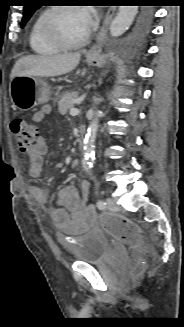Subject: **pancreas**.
<instances>
[{
  "label": "pancreas",
  "instance_id": "pancreas-1",
  "mask_svg": "<svg viewBox=\"0 0 184 327\" xmlns=\"http://www.w3.org/2000/svg\"><path fill=\"white\" fill-rule=\"evenodd\" d=\"M77 97V92L64 93L61 96V99L58 101L60 114L65 115L68 110L72 109L75 105V100L77 99Z\"/></svg>",
  "mask_w": 184,
  "mask_h": 327
}]
</instances>
